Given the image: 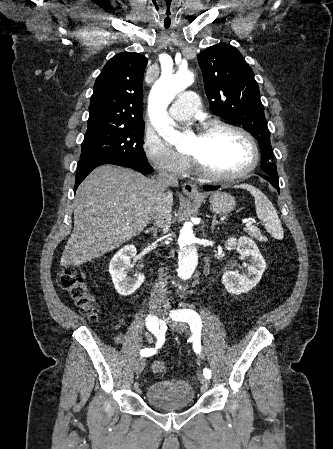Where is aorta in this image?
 I'll return each mask as SVG.
<instances>
[{"instance_id":"obj_1","label":"aorta","mask_w":333,"mask_h":449,"mask_svg":"<svg viewBox=\"0 0 333 449\" xmlns=\"http://www.w3.org/2000/svg\"><path fill=\"white\" fill-rule=\"evenodd\" d=\"M194 80L191 66L187 71L175 74L169 69L162 72L160 79L153 85L149 97V116L157 128L160 136L175 145L176 149L184 152L189 149L190 142L187 137L175 130L168 117L167 108L174 97ZM178 242V272L183 280L189 279L198 264L197 238L190 223H185L176 233Z\"/></svg>"}]
</instances>
